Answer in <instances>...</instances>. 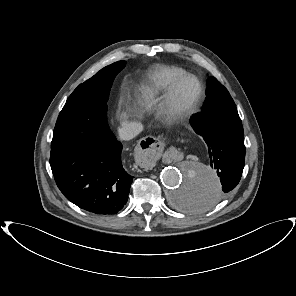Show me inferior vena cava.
Masks as SVG:
<instances>
[{
    "mask_svg": "<svg viewBox=\"0 0 296 296\" xmlns=\"http://www.w3.org/2000/svg\"><path fill=\"white\" fill-rule=\"evenodd\" d=\"M143 130L141 123H130L119 129V136L123 140H130L136 137Z\"/></svg>",
    "mask_w": 296,
    "mask_h": 296,
    "instance_id": "obj_1",
    "label": "inferior vena cava"
}]
</instances>
